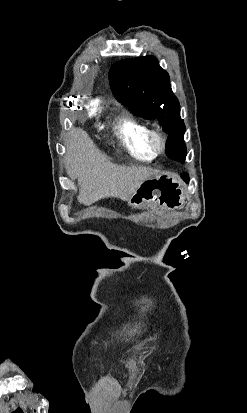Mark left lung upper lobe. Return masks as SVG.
<instances>
[{"mask_svg":"<svg viewBox=\"0 0 247 413\" xmlns=\"http://www.w3.org/2000/svg\"><path fill=\"white\" fill-rule=\"evenodd\" d=\"M109 82L119 102L143 118L159 121L170 134L166 155L183 162L187 151L180 105L171 90L169 75L157 59L146 56L118 61L109 71Z\"/></svg>","mask_w":247,"mask_h":413,"instance_id":"5c2ea615","label":"left lung upper lobe"}]
</instances>
